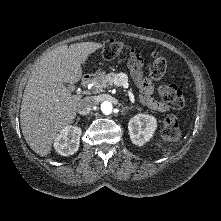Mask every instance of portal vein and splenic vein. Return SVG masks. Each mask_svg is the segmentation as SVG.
Masks as SVG:
<instances>
[{
  "label": "portal vein and splenic vein",
  "instance_id": "obj_1",
  "mask_svg": "<svg viewBox=\"0 0 221 221\" xmlns=\"http://www.w3.org/2000/svg\"><path fill=\"white\" fill-rule=\"evenodd\" d=\"M115 84H116L117 86H123L125 89L128 88V83H127V81H123V80H119V79H118V80L115 81ZM128 95H129L130 101H131L132 103H134V102H135V99H134L133 93H132L131 91H128Z\"/></svg>",
  "mask_w": 221,
  "mask_h": 221
}]
</instances>
